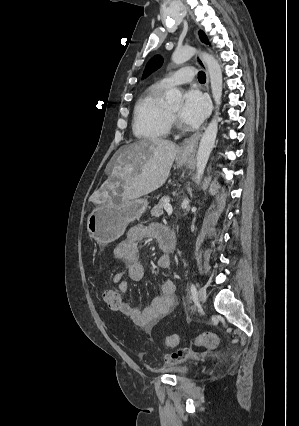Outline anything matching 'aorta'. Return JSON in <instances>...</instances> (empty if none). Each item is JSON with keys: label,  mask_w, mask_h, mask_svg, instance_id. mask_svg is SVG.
<instances>
[{"label": "aorta", "mask_w": 299, "mask_h": 426, "mask_svg": "<svg viewBox=\"0 0 299 426\" xmlns=\"http://www.w3.org/2000/svg\"><path fill=\"white\" fill-rule=\"evenodd\" d=\"M197 53V49L191 46H185L177 49L172 54V61L176 65H181L192 58ZM202 61L206 64L212 96L216 104V111L213 119L205 129L199 148L196 155V183L199 184L203 176L205 167L207 165L210 153L214 147L218 132V120H219V106L221 104L222 90H223V76L222 70L218 61L210 54L203 52L201 53ZM166 100L169 103L180 105L183 102L182 93L179 89L173 88L166 93Z\"/></svg>", "instance_id": "aorta-1"}]
</instances>
